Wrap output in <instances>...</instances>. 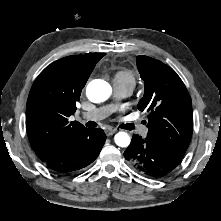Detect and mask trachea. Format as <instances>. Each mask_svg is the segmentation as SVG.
I'll return each instance as SVG.
<instances>
[{"label":"trachea","mask_w":221,"mask_h":221,"mask_svg":"<svg viewBox=\"0 0 221 221\" xmlns=\"http://www.w3.org/2000/svg\"><path fill=\"white\" fill-rule=\"evenodd\" d=\"M86 126L87 127H96V123L92 122V121H89V122L86 123ZM122 128L127 129V130H133L134 129V124L127 123V124L122 125Z\"/></svg>","instance_id":"3493384b"}]
</instances>
